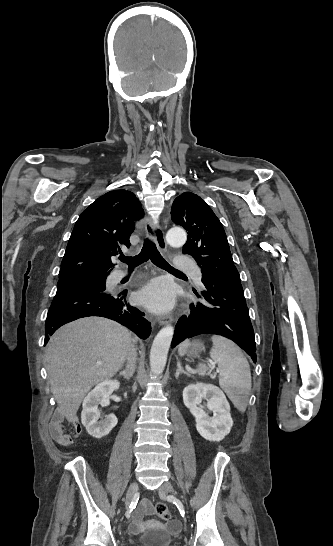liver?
Instances as JSON below:
<instances>
[{
  "mask_svg": "<svg viewBox=\"0 0 333 546\" xmlns=\"http://www.w3.org/2000/svg\"><path fill=\"white\" fill-rule=\"evenodd\" d=\"M130 345L128 330L104 318H82L58 329L46 347V369L58 412L75 422L86 393L120 370Z\"/></svg>",
  "mask_w": 333,
  "mask_h": 546,
  "instance_id": "6515ba94",
  "label": "liver"
}]
</instances>
